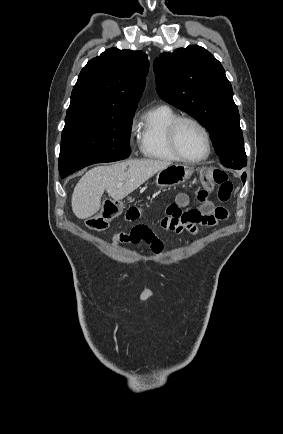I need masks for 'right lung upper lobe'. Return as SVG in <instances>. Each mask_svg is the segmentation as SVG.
<instances>
[{"mask_svg":"<svg viewBox=\"0 0 283 434\" xmlns=\"http://www.w3.org/2000/svg\"><path fill=\"white\" fill-rule=\"evenodd\" d=\"M148 69L149 61L142 51L105 50L81 70L65 120L134 114Z\"/></svg>","mask_w":283,"mask_h":434,"instance_id":"cb5924a9","label":"right lung upper lobe"}]
</instances>
